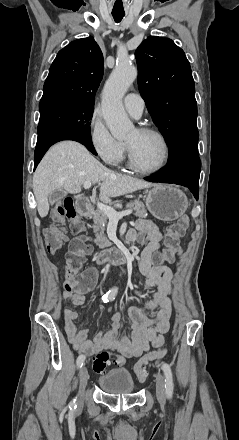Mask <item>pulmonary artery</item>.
I'll use <instances>...</instances> for the list:
<instances>
[{
    "label": "pulmonary artery",
    "instance_id": "obj_1",
    "mask_svg": "<svg viewBox=\"0 0 239 440\" xmlns=\"http://www.w3.org/2000/svg\"><path fill=\"white\" fill-rule=\"evenodd\" d=\"M144 105V100L139 94L129 93L124 98V106L126 110L134 117L141 116Z\"/></svg>",
    "mask_w": 239,
    "mask_h": 440
}]
</instances>
